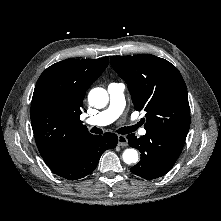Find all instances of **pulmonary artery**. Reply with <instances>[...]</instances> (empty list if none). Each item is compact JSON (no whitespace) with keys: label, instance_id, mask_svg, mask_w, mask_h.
<instances>
[{"label":"pulmonary artery","instance_id":"e3ab8cb5","mask_svg":"<svg viewBox=\"0 0 221 221\" xmlns=\"http://www.w3.org/2000/svg\"><path fill=\"white\" fill-rule=\"evenodd\" d=\"M125 85L122 83H110L108 85V94L110 104L108 108L101 111L97 115L86 119V123L93 126H105L114 122L123 112L125 107L124 98ZM141 135L146 134V130H139Z\"/></svg>","mask_w":221,"mask_h":221}]
</instances>
